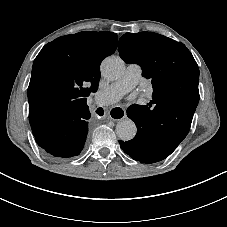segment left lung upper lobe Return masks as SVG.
I'll return each instance as SVG.
<instances>
[{
	"mask_svg": "<svg viewBox=\"0 0 227 227\" xmlns=\"http://www.w3.org/2000/svg\"><path fill=\"white\" fill-rule=\"evenodd\" d=\"M120 57L136 63L152 80L156 102L190 104L199 101V68L181 42L153 32L126 33L119 40Z\"/></svg>",
	"mask_w": 227,
	"mask_h": 227,
	"instance_id": "1",
	"label": "left lung upper lobe"
}]
</instances>
